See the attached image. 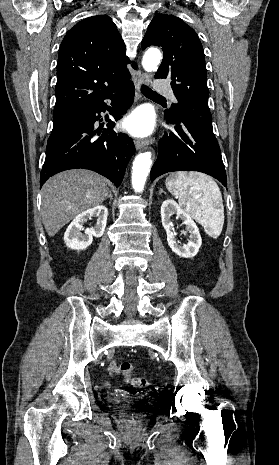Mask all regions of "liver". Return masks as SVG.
Wrapping results in <instances>:
<instances>
[{
    "label": "liver",
    "mask_w": 279,
    "mask_h": 465,
    "mask_svg": "<svg viewBox=\"0 0 279 465\" xmlns=\"http://www.w3.org/2000/svg\"><path fill=\"white\" fill-rule=\"evenodd\" d=\"M108 181L84 169H72L51 177L42 188L41 216L46 232L53 237L65 224L85 210L104 202Z\"/></svg>",
    "instance_id": "liver-1"
}]
</instances>
